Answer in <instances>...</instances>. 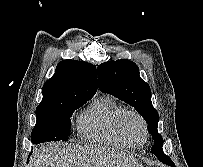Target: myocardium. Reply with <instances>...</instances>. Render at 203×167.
<instances>
[{"label":"myocardium","mask_w":203,"mask_h":167,"mask_svg":"<svg viewBox=\"0 0 203 167\" xmlns=\"http://www.w3.org/2000/svg\"><path fill=\"white\" fill-rule=\"evenodd\" d=\"M130 116H133L135 118H137L139 120V122L141 123L142 125V128H143V134H144V137H143V141L141 144L139 145H136L134 143H132L130 141V139L128 138L125 130H124V121L126 118L130 117ZM117 129H118V132L120 133V135L123 137V139L129 144L131 145L132 147L134 148H137V147H141L143 146L146 142H147V139H148V135H149V131H148V124H147V121L145 120V118L139 113L137 112L136 110H125L122 112V114L119 116L118 118V121H117Z\"/></svg>","instance_id":"1"}]
</instances>
